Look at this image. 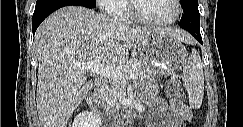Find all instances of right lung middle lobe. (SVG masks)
I'll use <instances>...</instances> for the list:
<instances>
[{"label":"right lung middle lobe","mask_w":243,"mask_h":127,"mask_svg":"<svg viewBox=\"0 0 243 127\" xmlns=\"http://www.w3.org/2000/svg\"><path fill=\"white\" fill-rule=\"evenodd\" d=\"M89 3H91V5L93 6V7H95V5H96V2H95V0H87Z\"/></svg>","instance_id":"dd1d6c3e"}]
</instances>
